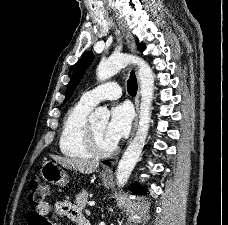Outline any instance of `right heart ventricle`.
Masks as SVG:
<instances>
[{"label":"right heart ventricle","instance_id":"right-heart-ventricle-1","mask_svg":"<svg viewBox=\"0 0 228 225\" xmlns=\"http://www.w3.org/2000/svg\"><path fill=\"white\" fill-rule=\"evenodd\" d=\"M93 108L80 99L67 111L59 137V149L64 156L80 159L96 156L87 140L89 115Z\"/></svg>","mask_w":228,"mask_h":225}]
</instances>
